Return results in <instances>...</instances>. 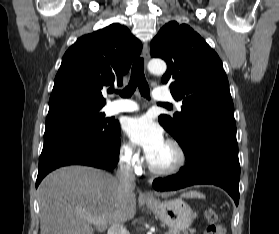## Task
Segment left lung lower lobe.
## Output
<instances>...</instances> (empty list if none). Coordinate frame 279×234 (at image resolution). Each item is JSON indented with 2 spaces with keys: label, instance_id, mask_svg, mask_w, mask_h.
Instances as JSON below:
<instances>
[{
  "label": "left lung lower lobe",
  "instance_id": "0a47b994",
  "mask_svg": "<svg viewBox=\"0 0 279 234\" xmlns=\"http://www.w3.org/2000/svg\"><path fill=\"white\" fill-rule=\"evenodd\" d=\"M186 165L175 175L154 180L157 191H172L195 184H214L239 202L240 165L236 126L211 124L199 128L185 153Z\"/></svg>",
  "mask_w": 279,
  "mask_h": 234
}]
</instances>
